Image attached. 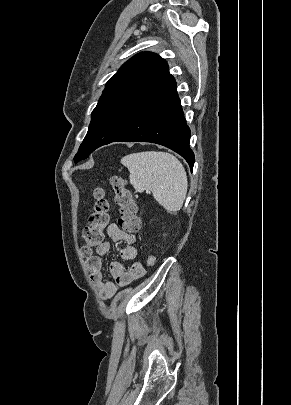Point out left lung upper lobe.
<instances>
[{
	"label": "left lung upper lobe",
	"instance_id": "1",
	"mask_svg": "<svg viewBox=\"0 0 291 405\" xmlns=\"http://www.w3.org/2000/svg\"><path fill=\"white\" fill-rule=\"evenodd\" d=\"M167 71L166 61L151 52L139 53L123 64L107 82L91 114L87 135L74 162L116 140L128 127L143 97Z\"/></svg>",
	"mask_w": 291,
	"mask_h": 405
}]
</instances>
